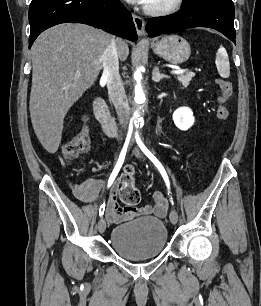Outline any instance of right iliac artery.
I'll return each instance as SVG.
<instances>
[{"label": "right iliac artery", "mask_w": 261, "mask_h": 306, "mask_svg": "<svg viewBox=\"0 0 261 306\" xmlns=\"http://www.w3.org/2000/svg\"><path fill=\"white\" fill-rule=\"evenodd\" d=\"M131 133L132 132H131V129H130L129 132H128L126 141L124 143V146H123V148L121 150V153L119 155V159L117 161V164H116V166H115V168H114V170H113V172H112V174L110 176V179H109V182H108L109 186L113 183L115 177L117 176V174H118V172H119V170H120V168H121V166H122V164L124 162V159H125V156H126V152H127V148H128V145H129V142H130V138H131ZM104 211H105V202L100 206V209H99V216L100 217L103 216Z\"/></svg>", "instance_id": "1"}]
</instances>
